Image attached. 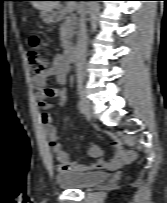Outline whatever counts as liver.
I'll return each instance as SVG.
<instances>
[{
  "label": "liver",
  "mask_w": 167,
  "mask_h": 203,
  "mask_svg": "<svg viewBox=\"0 0 167 203\" xmlns=\"http://www.w3.org/2000/svg\"><path fill=\"white\" fill-rule=\"evenodd\" d=\"M33 7L42 11H51L58 7L57 1H33Z\"/></svg>",
  "instance_id": "liver-1"
}]
</instances>
